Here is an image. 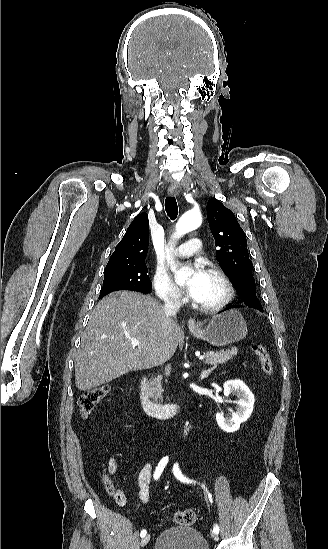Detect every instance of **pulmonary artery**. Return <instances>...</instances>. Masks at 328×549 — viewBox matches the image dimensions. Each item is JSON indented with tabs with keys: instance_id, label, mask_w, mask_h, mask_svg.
<instances>
[{
	"instance_id": "e3ab8cb5",
	"label": "pulmonary artery",
	"mask_w": 328,
	"mask_h": 549,
	"mask_svg": "<svg viewBox=\"0 0 328 549\" xmlns=\"http://www.w3.org/2000/svg\"><path fill=\"white\" fill-rule=\"evenodd\" d=\"M204 248V243L198 237H189L187 246H178L175 253L181 258L193 257L195 252H202Z\"/></svg>"
}]
</instances>
